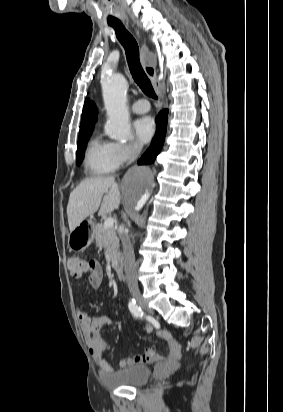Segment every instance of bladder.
<instances>
[{
    "label": "bladder",
    "instance_id": "obj_1",
    "mask_svg": "<svg viewBox=\"0 0 283 412\" xmlns=\"http://www.w3.org/2000/svg\"><path fill=\"white\" fill-rule=\"evenodd\" d=\"M149 367L137 365L121 370L110 371L103 375L105 385L116 387H137L144 385L150 378Z\"/></svg>",
    "mask_w": 283,
    "mask_h": 412
}]
</instances>
